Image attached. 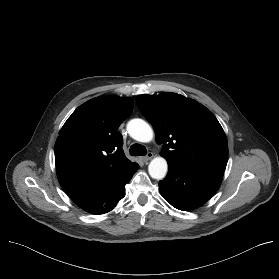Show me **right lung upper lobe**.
<instances>
[{"label": "right lung upper lobe", "mask_w": 279, "mask_h": 279, "mask_svg": "<svg viewBox=\"0 0 279 279\" xmlns=\"http://www.w3.org/2000/svg\"><path fill=\"white\" fill-rule=\"evenodd\" d=\"M131 98L101 96L79 106L63 125L55 144L59 183L70 198L97 190L136 163L125 157L117 131L133 110Z\"/></svg>", "instance_id": "1"}]
</instances>
